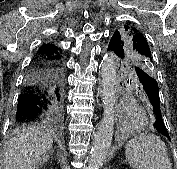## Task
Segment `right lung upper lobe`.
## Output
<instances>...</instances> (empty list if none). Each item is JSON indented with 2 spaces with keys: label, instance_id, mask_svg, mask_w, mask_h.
Here are the masks:
<instances>
[{
  "label": "right lung upper lobe",
  "instance_id": "right-lung-upper-lobe-1",
  "mask_svg": "<svg viewBox=\"0 0 177 169\" xmlns=\"http://www.w3.org/2000/svg\"><path fill=\"white\" fill-rule=\"evenodd\" d=\"M38 52H44V53L48 54L49 56H53L55 58H61L58 47H56L55 45H52V44H43L39 48Z\"/></svg>",
  "mask_w": 177,
  "mask_h": 169
}]
</instances>
